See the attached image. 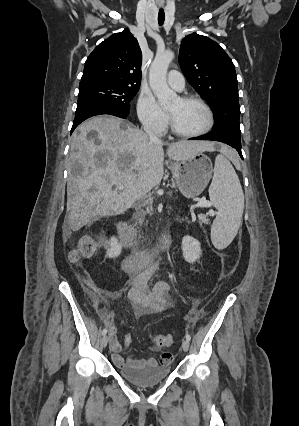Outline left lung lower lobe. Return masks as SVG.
Returning <instances> with one entry per match:
<instances>
[{
    "instance_id": "1",
    "label": "left lung lower lobe",
    "mask_w": 299,
    "mask_h": 426,
    "mask_svg": "<svg viewBox=\"0 0 299 426\" xmlns=\"http://www.w3.org/2000/svg\"><path fill=\"white\" fill-rule=\"evenodd\" d=\"M191 140H212V141H219V142L226 143L232 146L233 148H235L239 152V155L241 156V158L243 159V156L241 153V141H238L234 138L223 136V135H214L209 133L199 137L191 138Z\"/></svg>"
}]
</instances>
